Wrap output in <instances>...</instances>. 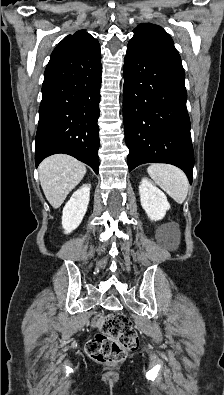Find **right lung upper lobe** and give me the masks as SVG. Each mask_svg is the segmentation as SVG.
<instances>
[{
    "instance_id": "cb5924a9",
    "label": "right lung upper lobe",
    "mask_w": 224,
    "mask_h": 395,
    "mask_svg": "<svg viewBox=\"0 0 224 395\" xmlns=\"http://www.w3.org/2000/svg\"><path fill=\"white\" fill-rule=\"evenodd\" d=\"M67 37L75 39L78 47L86 53L94 54L100 51L98 41L84 30L77 31Z\"/></svg>"
}]
</instances>
